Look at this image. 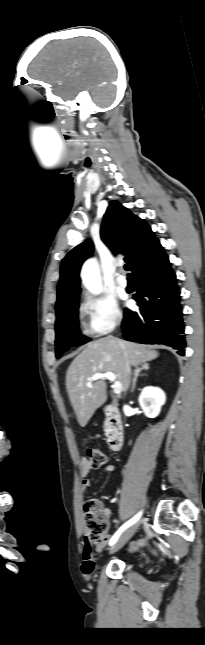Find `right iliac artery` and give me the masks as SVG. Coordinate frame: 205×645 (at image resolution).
<instances>
[{
	"instance_id": "right-iliac-artery-1",
	"label": "right iliac artery",
	"mask_w": 205,
	"mask_h": 645,
	"mask_svg": "<svg viewBox=\"0 0 205 645\" xmlns=\"http://www.w3.org/2000/svg\"><path fill=\"white\" fill-rule=\"evenodd\" d=\"M141 515H142V512H139V513H138L137 515H135L132 519H130L128 522H126L124 525H122V526L117 530V532L113 535V537L111 538V540H110L109 544H110V545H113V544L118 540V538H119V536L122 534V532H123L124 530H126L128 527H130L131 525H133L135 522H137V521L139 520V518L141 517Z\"/></svg>"
}]
</instances>
